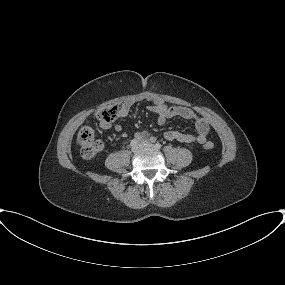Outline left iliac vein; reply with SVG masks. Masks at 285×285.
I'll use <instances>...</instances> for the list:
<instances>
[{
  "mask_svg": "<svg viewBox=\"0 0 285 285\" xmlns=\"http://www.w3.org/2000/svg\"><path fill=\"white\" fill-rule=\"evenodd\" d=\"M143 147H147V148H155V146L153 144H151L150 142L144 141L142 143Z\"/></svg>",
  "mask_w": 285,
  "mask_h": 285,
  "instance_id": "4c4485c4",
  "label": "left iliac vein"
}]
</instances>
